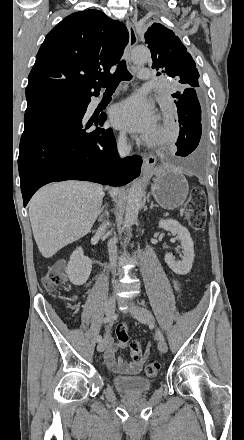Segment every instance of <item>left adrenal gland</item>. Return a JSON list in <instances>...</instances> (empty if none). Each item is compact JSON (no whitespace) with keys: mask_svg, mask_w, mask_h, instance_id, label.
<instances>
[{"mask_svg":"<svg viewBox=\"0 0 244 440\" xmlns=\"http://www.w3.org/2000/svg\"><path fill=\"white\" fill-rule=\"evenodd\" d=\"M154 206H155V208H158L157 204H153V202H151V206H150L151 210H152V208H154Z\"/></svg>","mask_w":244,"mask_h":440,"instance_id":"obj_1","label":"left adrenal gland"}]
</instances>
